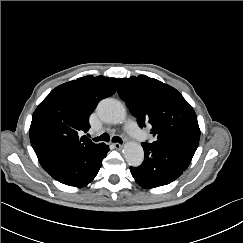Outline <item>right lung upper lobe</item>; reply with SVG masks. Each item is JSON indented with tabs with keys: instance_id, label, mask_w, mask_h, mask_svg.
Instances as JSON below:
<instances>
[{
	"instance_id": "right-lung-upper-lobe-1",
	"label": "right lung upper lobe",
	"mask_w": 243,
	"mask_h": 243,
	"mask_svg": "<svg viewBox=\"0 0 243 243\" xmlns=\"http://www.w3.org/2000/svg\"><path fill=\"white\" fill-rule=\"evenodd\" d=\"M118 79L85 76L64 83L38 105L32 116L30 141L40 164L68 153L93 150L86 136L89 117L98 102L116 92Z\"/></svg>"
}]
</instances>
